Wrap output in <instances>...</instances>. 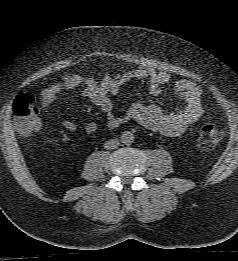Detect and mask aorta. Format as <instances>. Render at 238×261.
Masks as SVG:
<instances>
[{"instance_id": "aorta-1", "label": "aorta", "mask_w": 238, "mask_h": 261, "mask_svg": "<svg viewBox=\"0 0 238 261\" xmlns=\"http://www.w3.org/2000/svg\"><path fill=\"white\" fill-rule=\"evenodd\" d=\"M134 141V135L130 131H124L121 135V142L125 145H129L133 143Z\"/></svg>"}]
</instances>
